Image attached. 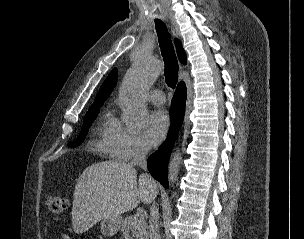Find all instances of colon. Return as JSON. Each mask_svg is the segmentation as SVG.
Masks as SVG:
<instances>
[{"label":"colon","instance_id":"colon-1","mask_svg":"<svg viewBox=\"0 0 304 239\" xmlns=\"http://www.w3.org/2000/svg\"><path fill=\"white\" fill-rule=\"evenodd\" d=\"M46 205L52 215L60 216L68 208V199L63 195H50L46 198Z\"/></svg>","mask_w":304,"mask_h":239}]
</instances>
